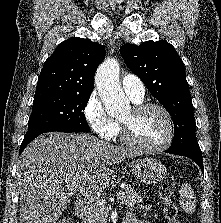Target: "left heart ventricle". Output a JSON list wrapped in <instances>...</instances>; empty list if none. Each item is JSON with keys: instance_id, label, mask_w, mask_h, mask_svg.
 I'll list each match as a JSON object with an SVG mask.
<instances>
[{"instance_id": "b2bd125f", "label": "left heart ventricle", "mask_w": 221, "mask_h": 223, "mask_svg": "<svg viewBox=\"0 0 221 223\" xmlns=\"http://www.w3.org/2000/svg\"><path fill=\"white\" fill-rule=\"evenodd\" d=\"M121 121L130 125L132 138L141 144L155 146L167 136V121L164 115L155 109L135 113L131 108Z\"/></svg>"}]
</instances>
